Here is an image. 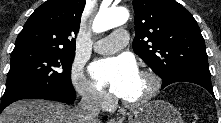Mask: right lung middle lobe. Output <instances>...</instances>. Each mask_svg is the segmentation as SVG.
I'll return each mask as SVG.
<instances>
[{
  "label": "right lung middle lobe",
  "instance_id": "dd1d6c3e",
  "mask_svg": "<svg viewBox=\"0 0 221 123\" xmlns=\"http://www.w3.org/2000/svg\"><path fill=\"white\" fill-rule=\"evenodd\" d=\"M74 55L70 51L37 48L13 51L6 90L33 86L41 91L59 84L72 86Z\"/></svg>",
  "mask_w": 221,
  "mask_h": 123
}]
</instances>
